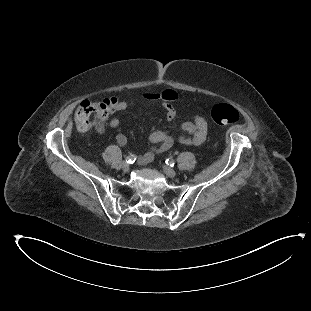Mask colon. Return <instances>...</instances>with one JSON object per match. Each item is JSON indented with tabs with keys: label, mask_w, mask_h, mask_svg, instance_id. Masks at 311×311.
I'll return each mask as SVG.
<instances>
[{
	"label": "colon",
	"mask_w": 311,
	"mask_h": 311,
	"mask_svg": "<svg viewBox=\"0 0 311 311\" xmlns=\"http://www.w3.org/2000/svg\"><path fill=\"white\" fill-rule=\"evenodd\" d=\"M145 99L153 102L172 101L177 98L174 90L163 92H147ZM112 104L108 100L97 102L83 101L75 113L76 126L79 131L86 132L97 122L103 121L109 115V108ZM211 117L216 124L233 125L239 121L238 111L229 104H218L211 110Z\"/></svg>",
	"instance_id": "5ec220e1"
}]
</instances>
